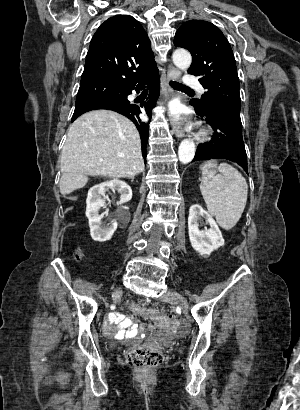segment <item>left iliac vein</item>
<instances>
[{"instance_id":"obj_1","label":"left iliac vein","mask_w":300,"mask_h":410,"mask_svg":"<svg viewBox=\"0 0 300 410\" xmlns=\"http://www.w3.org/2000/svg\"><path fill=\"white\" fill-rule=\"evenodd\" d=\"M161 300L174 303L184 310L188 308L187 300L176 291H167L162 295Z\"/></svg>"}]
</instances>
